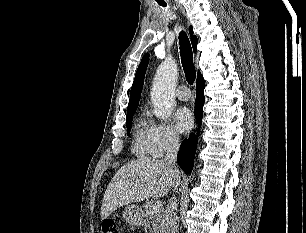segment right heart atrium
<instances>
[{
    "mask_svg": "<svg viewBox=\"0 0 306 233\" xmlns=\"http://www.w3.org/2000/svg\"><path fill=\"white\" fill-rule=\"evenodd\" d=\"M151 155L162 157L165 153L178 147L180 138L175 128L167 123H153L150 125Z\"/></svg>",
    "mask_w": 306,
    "mask_h": 233,
    "instance_id": "obj_1",
    "label": "right heart atrium"
}]
</instances>
